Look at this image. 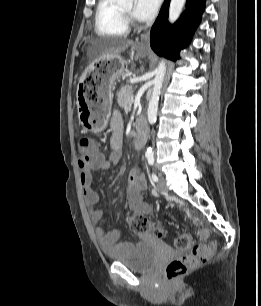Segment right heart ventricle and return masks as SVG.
<instances>
[{"label":"right heart ventricle","instance_id":"1","mask_svg":"<svg viewBox=\"0 0 261 306\" xmlns=\"http://www.w3.org/2000/svg\"><path fill=\"white\" fill-rule=\"evenodd\" d=\"M95 31L100 36L123 37L127 35L128 23L116 0H98Z\"/></svg>","mask_w":261,"mask_h":306}]
</instances>
